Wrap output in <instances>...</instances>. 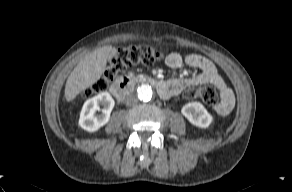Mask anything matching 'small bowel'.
<instances>
[{
  "instance_id": "small-bowel-1",
  "label": "small bowel",
  "mask_w": 292,
  "mask_h": 192,
  "mask_svg": "<svg viewBox=\"0 0 292 192\" xmlns=\"http://www.w3.org/2000/svg\"><path fill=\"white\" fill-rule=\"evenodd\" d=\"M165 62L168 67L173 69L180 68L186 64L199 70V73L192 77L169 79L167 82L169 85L167 97L177 95L189 87L212 84L219 89L221 95V102L215 107V111L220 115H226L231 111L234 104L233 93L226 86L211 60L198 54H188L183 57L177 52H172L167 55Z\"/></svg>"
}]
</instances>
